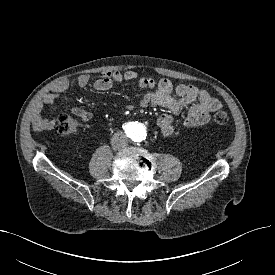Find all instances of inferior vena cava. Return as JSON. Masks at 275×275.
<instances>
[{"instance_id":"obj_1","label":"inferior vena cava","mask_w":275,"mask_h":275,"mask_svg":"<svg viewBox=\"0 0 275 275\" xmlns=\"http://www.w3.org/2000/svg\"><path fill=\"white\" fill-rule=\"evenodd\" d=\"M127 143L128 139L123 132H116L111 139L112 148L115 150L126 147Z\"/></svg>"}]
</instances>
